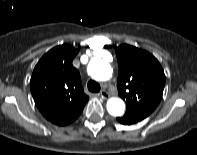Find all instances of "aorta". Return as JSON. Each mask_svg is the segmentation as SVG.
Returning a JSON list of instances; mask_svg holds the SVG:
<instances>
[{
    "instance_id": "762f6f07",
    "label": "aorta",
    "mask_w": 197,
    "mask_h": 155,
    "mask_svg": "<svg viewBox=\"0 0 197 155\" xmlns=\"http://www.w3.org/2000/svg\"><path fill=\"white\" fill-rule=\"evenodd\" d=\"M113 69L111 65L100 58H94L88 65V74L99 81L109 80L112 76ZM125 110V104L120 98H110L107 101V111L112 116H121Z\"/></svg>"
}]
</instances>
